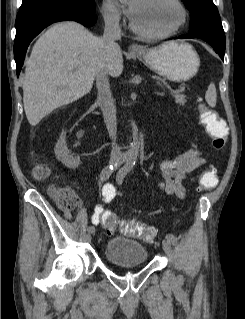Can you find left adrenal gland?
Segmentation results:
<instances>
[{
  "mask_svg": "<svg viewBox=\"0 0 245 319\" xmlns=\"http://www.w3.org/2000/svg\"><path fill=\"white\" fill-rule=\"evenodd\" d=\"M156 94H158V95H161L162 93H160V92H155Z\"/></svg>",
  "mask_w": 245,
  "mask_h": 319,
  "instance_id": "1",
  "label": "left adrenal gland"
}]
</instances>
